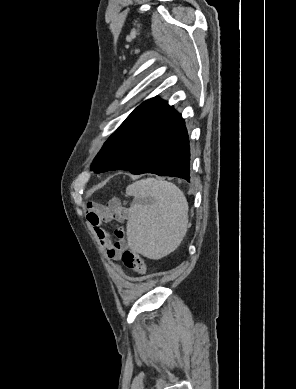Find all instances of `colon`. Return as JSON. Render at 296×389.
I'll list each match as a JSON object with an SVG mask.
<instances>
[{"mask_svg":"<svg viewBox=\"0 0 296 389\" xmlns=\"http://www.w3.org/2000/svg\"><path fill=\"white\" fill-rule=\"evenodd\" d=\"M122 262L128 269H131L140 275H145L148 271V267L143 258L136 251H124L122 254Z\"/></svg>","mask_w":296,"mask_h":389,"instance_id":"colon-1","label":"colon"}]
</instances>
